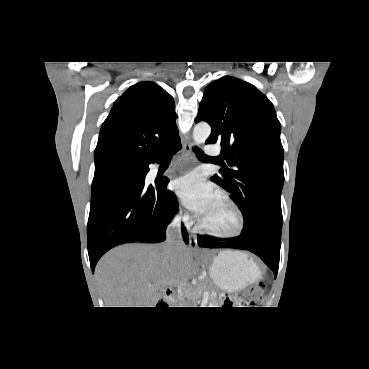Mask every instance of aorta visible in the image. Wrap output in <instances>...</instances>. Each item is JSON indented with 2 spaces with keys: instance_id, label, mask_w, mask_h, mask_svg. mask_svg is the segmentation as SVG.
I'll use <instances>...</instances> for the list:
<instances>
[{
  "instance_id": "aorta-1",
  "label": "aorta",
  "mask_w": 369,
  "mask_h": 369,
  "mask_svg": "<svg viewBox=\"0 0 369 369\" xmlns=\"http://www.w3.org/2000/svg\"><path fill=\"white\" fill-rule=\"evenodd\" d=\"M211 133V127L205 122L198 123L193 129V140L196 144L204 143Z\"/></svg>"
}]
</instances>
